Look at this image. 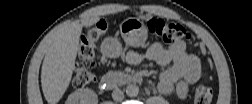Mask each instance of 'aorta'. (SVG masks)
Listing matches in <instances>:
<instances>
[{"mask_svg": "<svg viewBox=\"0 0 252 104\" xmlns=\"http://www.w3.org/2000/svg\"><path fill=\"white\" fill-rule=\"evenodd\" d=\"M126 94L129 97H136L139 94V87L135 84H130L126 87Z\"/></svg>", "mask_w": 252, "mask_h": 104, "instance_id": "1", "label": "aorta"}]
</instances>
